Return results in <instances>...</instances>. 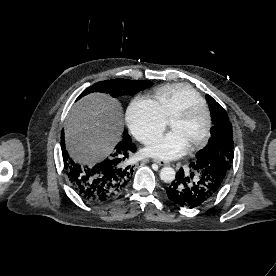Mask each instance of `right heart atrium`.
Returning <instances> with one entry per match:
<instances>
[{
    "label": "right heart atrium",
    "instance_id": "d8ad5b80",
    "mask_svg": "<svg viewBox=\"0 0 276 276\" xmlns=\"http://www.w3.org/2000/svg\"><path fill=\"white\" fill-rule=\"evenodd\" d=\"M127 123L133 135L143 143L158 137L167 126V120L156 103L144 97L131 101L127 109Z\"/></svg>",
    "mask_w": 276,
    "mask_h": 276
}]
</instances>
